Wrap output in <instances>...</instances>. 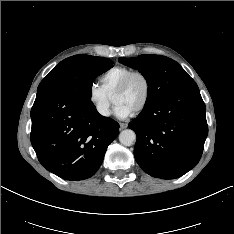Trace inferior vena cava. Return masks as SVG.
<instances>
[{
  "label": "inferior vena cava",
  "mask_w": 234,
  "mask_h": 234,
  "mask_svg": "<svg viewBox=\"0 0 234 234\" xmlns=\"http://www.w3.org/2000/svg\"><path fill=\"white\" fill-rule=\"evenodd\" d=\"M98 112L103 116H109V111L106 107L100 106L97 108Z\"/></svg>",
  "instance_id": "inferior-vena-cava-1"
}]
</instances>
